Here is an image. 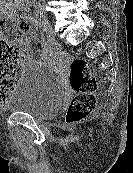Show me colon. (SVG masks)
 Masks as SVG:
<instances>
[{
    "label": "colon",
    "mask_w": 133,
    "mask_h": 173,
    "mask_svg": "<svg viewBox=\"0 0 133 173\" xmlns=\"http://www.w3.org/2000/svg\"><path fill=\"white\" fill-rule=\"evenodd\" d=\"M30 24L16 20L10 15L0 21V104L5 103L11 95L20 71L22 52L15 45L30 30ZM69 83L75 92L65 115L69 124L88 118L96 105V78L92 67L84 59H75L69 67Z\"/></svg>",
    "instance_id": "colon-1"
}]
</instances>
